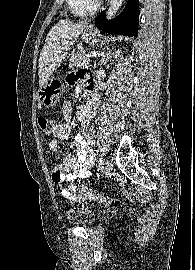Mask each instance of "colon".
<instances>
[{
  "instance_id": "obj_1",
  "label": "colon",
  "mask_w": 195,
  "mask_h": 270,
  "mask_svg": "<svg viewBox=\"0 0 195 270\" xmlns=\"http://www.w3.org/2000/svg\"><path fill=\"white\" fill-rule=\"evenodd\" d=\"M38 124L42 131L46 134H51L53 129L56 126V122L54 119L45 117V116H39L38 117ZM77 193L82 197H87L95 202H98L103 205H108L111 203L110 198L100 195L86 187H77Z\"/></svg>"
}]
</instances>
